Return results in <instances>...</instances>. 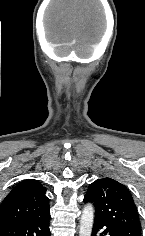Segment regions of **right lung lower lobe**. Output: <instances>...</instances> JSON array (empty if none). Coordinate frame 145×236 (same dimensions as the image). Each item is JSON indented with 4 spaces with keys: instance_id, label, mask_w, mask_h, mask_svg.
<instances>
[{
    "instance_id": "obj_1",
    "label": "right lung lower lobe",
    "mask_w": 145,
    "mask_h": 236,
    "mask_svg": "<svg viewBox=\"0 0 145 236\" xmlns=\"http://www.w3.org/2000/svg\"><path fill=\"white\" fill-rule=\"evenodd\" d=\"M50 211L29 219L0 226V236H50Z\"/></svg>"
}]
</instances>
